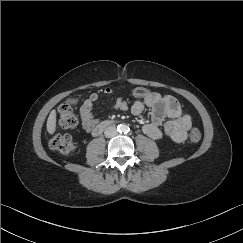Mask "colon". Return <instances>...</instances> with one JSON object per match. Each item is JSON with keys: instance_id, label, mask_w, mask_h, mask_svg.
<instances>
[{"instance_id": "obj_1", "label": "colon", "mask_w": 243, "mask_h": 243, "mask_svg": "<svg viewBox=\"0 0 243 243\" xmlns=\"http://www.w3.org/2000/svg\"><path fill=\"white\" fill-rule=\"evenodd\" d=\"M135 96L144 94L142 88H136L133 93ZM59 122L65 128H74L77 125V117L73 110V101L68 99L62 102L59 106ZM189 138L193 142H198L201 139V132L197 128H192L189 133ZM50 146L54 150L67 154L75 151L76 145L68 134L56 133L50 139Z\"/></svg>"}]
</instances>
